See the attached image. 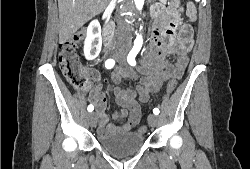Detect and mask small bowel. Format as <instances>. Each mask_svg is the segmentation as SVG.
<instances>
[{
  "label": "small bowel",
  "mask_w": 250,
  "mask_h": 169,
  "mask_svg": "<svg viewBox=\"0 0 250 169\" xmlns=\"http://www.w3.org/2000/svg\"><path fill=\"white\" fill-rule=\"evenodd\" d=\"M188 16L192 21L195 20V12ZM167 21H162L154 30L150 49L142 58L139 64V84L137 94L132 90L120 87L122 79H138V75L129 68H124L114 72L108 81L116 85L115 96L116 102L121 106L120 113L114 115L115 119L126 118L122 125L107 124L108 118L105 113L107 97L103 91V81L98 71L87 69L88 76L94 82V89L90 96L91 102L95 106L96 114L99 118L98 131L101 135L109 133H129L139 123L141 118L140 103L149 101L150 95L157 92L164 83H177L182 77L187 66L189 53L192 49V35L188 28L187 33L183 36L175 35L178 25L181 23L180 16L177 12L171 11L167 15ZM169 25V27H168ZM166 36L174 37L172 43H165ZM175 55L176 60L172 63L169 56ZM173 72H178L177 82H168V77H173ZM174 89V88H167Z\"/></svg>",
  "instance_id": "c3829d8e"
}]
</instances>
